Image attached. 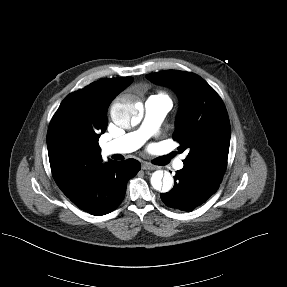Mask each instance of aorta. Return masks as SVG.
Listing matches in <instances>:
<instances>
[{"label":"aorta","instance_id":"obj_1","mask_svg":"<svg viewBox=\"0 0 287 287\" xmlns=\"http://www.w3.org/2000/svg\"><path fill=\"white\" fill-rule=\"evenodd\" d=\"M112 121L123 128L136 125L141 120V107L138 98L126 96L114 103L111 107ZM152 187L157 191L168 192L173 187V177L169 172L155 171L150 179Z\"/></svg>","mask_w":287,"mask_h":287}]
</instances>
